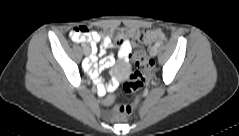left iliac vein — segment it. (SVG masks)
<instances>
[{
	"mask_svg": "<svg viewBox=\"0 0 239 136\" xmlns=\"http://www.w3.org/2000/svg\"><path fill=\"white\" fill-rule=\"evenodd\" d=\"M157 53H158L157 47L153 46V47L150 49V55H151V56H156Z\"/></svg>",
	"mask_w": 239,
	"mask_h": 136,
	"instance_id": "1",
	"label": "left iliac vein"
}]
</instances>
